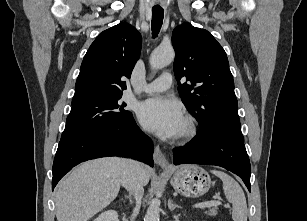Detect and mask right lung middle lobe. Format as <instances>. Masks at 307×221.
<instances>
[{"label":"right lung middle lobe","instance_id":"1","mask_svg":"<svg viewBox=\"0 0 307 221\" xmlns=\"http://www.w3.org/2000/svg\"><path fill=\"white\" fill-rule=\"evenodd\" d=\"M122 95L90 99L72 103L61 139L78 135L96 128L122 122L132 116L119 100Z\"/></svg>","mask_w":307,"mask_h":221}]
</instances>
